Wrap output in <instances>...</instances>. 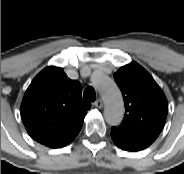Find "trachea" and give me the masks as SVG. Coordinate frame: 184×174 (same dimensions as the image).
Wrapping results in <instances>:
<instances>
[{"label": "trachea", "mask_w": 184, "mask_h": 174, "mask_svg": "<svg viewBox=\"0 0 184 174\" xmlns=\"http://www.w3.org/2000/svg\"><path fill=\"white\" fill-rule=\"evenodd\" d=\"M84 99L88 101H95L96 100V93L92 86H88L83 93Z\"/></svg>", "instance_id": "trachea-1"}]
</instances>
